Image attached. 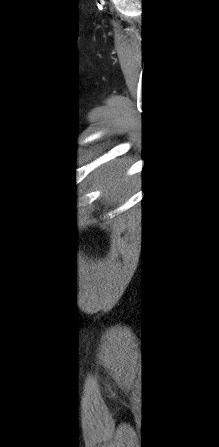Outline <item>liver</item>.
<instances>
[{
	"instance_id": "obj_1",
	"label": "liver",
	"mask_w": 219,
	"mask_h": 447,
	"mask_svg": "<svg viewBox=\"0 0 219 447\" xmlns=\"http://www.w3.org/2000/svg\"><path fill=\"white\" fill-rule=\"evenodd\" d=\"M125 170V166L121 163L117 165L110 163L100 168L91 178L93 183L99 187H105L110 185L109 189L105 192V198L109 202L112 200L120 199L124 197L129 189V180L123 179L117 181V178Z\"/></svg>"
}]
</instances>
